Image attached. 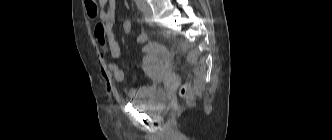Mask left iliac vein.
Instances as JSON below:
<instances>
[{
	"label": "left iliac vein",
	"instance_id": "obj_1",
	"mask_svg": "<svg viewBox=\"0 0 332 140\" xmlns=\"http://www.w3.org/2000/svg\"><path fill=\"white\" fill-rule=\"evenodd\" d=\"M143 16L144 19L147 23L152 24L153 23V13H152V9L149 6L148 3H146L145 0H143Z\"/></svg>",
	"mask_w": 332,
	"mask_h": 140
}]
</instances>
